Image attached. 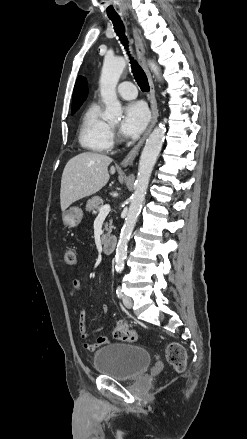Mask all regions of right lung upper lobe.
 I'll use <instances>...</instances> for the list:
<instances>
[{"instance_id": "obj_1", "label": "right lung upper lobe", "mask_w": 247, "mask_h": 439, "mask_svg": "<svg viewBox=\"0 0 247 439\" xmlns=\"http://www.w3.org/2000/svg\"><path fill=\"white\" fill-rule=\"evenodd\" d=\"M87 94H88V89H87L86 80L82 76H79L77 78L73 91L72 110L79 109V107L86 99Z\"/></svg>"}]
</instances>
